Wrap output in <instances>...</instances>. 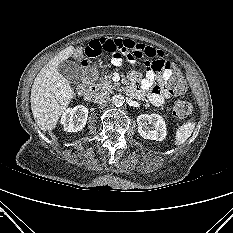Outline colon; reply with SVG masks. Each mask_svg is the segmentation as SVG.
Masks as SVG:
<instances>
[{
  "label": "colon",
  "mask_w": 233,
  "mask_h": 233,
  "mask_svg": "<svg viewBox=\"0 0 233 233\" xmlns=\"http://www.w3.org/2000/svg\"><path fill=\"white\" fill-rule=\"evenodd\" d=\"M83 66H87V64L83 63ZM175 68V67H174ZM92 80V74L89 72L87 68L84 70V82H90ZM169 88L173 94L182 95L187 90V84L185 78L179 73L175 72L173 77L169 82ZM173 113L179 119L187 118L191 113V105L184 100H177L173 105Z\"/></svg>",
  "instance_id": "obj_1"
}]
</instances>
